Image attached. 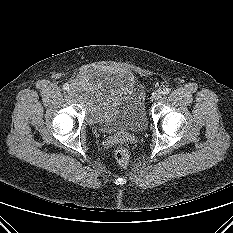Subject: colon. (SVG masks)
Returning a JSON list of instances; mask_svg holds the SVG:
<instances>
[{
	"label": "colon",
	"mask_w": 233,
	"mask_h": 233,
	"mask_svg": "<svg viewBox=\"0 0 233 233\" xmlns=\"http://www.w3.org/2000/svg\"><path fill=\"white\" fill-rule=\"evenodd\" d=\"M115 159L120 166L127 167L130 163V155L128 150L123 146L118 147L115 150Z\"/></svg>",
	"instance_id": "obj_1"
}]
</instances>
